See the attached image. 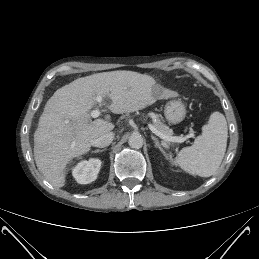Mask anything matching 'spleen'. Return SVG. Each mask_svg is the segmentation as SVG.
I'll return each mask as SVG.
<instances>
[{
	"label": "spleen",
	"mask_w": 259,
	"mask_h": 259,
	"mask_svg": "<svg viewBox=\"0 0 259 259\" xmlns=\"http://www.w3.org/2000/svg\"><path fill=\"white\" fill-rule=\"evenodd\" d=\"M228 128L225 116L213 112L192 146L177 154L173 164L191 175L210 177L219 168L226 152Z\"/></svg>",
	"instance_id": "1"
}]
</instances>
